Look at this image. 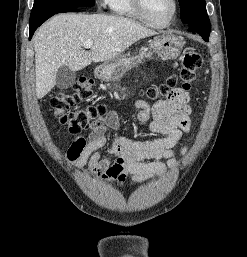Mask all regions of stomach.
Returning <instances> with one entry per match:
<instances>
[{"label": "stomach", "mask_w": 247, "mask_h": 257, "mask_svg": "<svg viewBox=\"0 0 247 257\" xmlns=\"http://www.w3.org/2000/svg\"><path fill=\"white\" fill-rule=\"evenodd\" d=\"M184 42L178 36L166 34L154 38L149 43V49L158 54L163 60L175 59L182 50ZM144 60V56L122 54L106 61L95 69V76L102 81H116L127 71L138 66Z\"/></svg>", "instance_id": "0dacf381"}]
</instances>
